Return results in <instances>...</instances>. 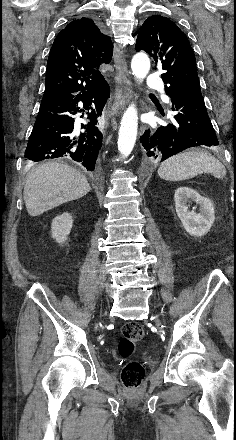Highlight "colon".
<instances>
[{"mask_svg":"<svg viewBox=\"0 0 236 440\" xmlns=\"http://www.w3.org/2000/svg\"><path fill=\"white\" fill-rule=\"evenodd\" d=\"M144 336V330L137 322H127L121 329V338L118 344V353L121 357H129L135 344ZM145 370L137 361L128 362L122 369L121 380L124 387L128 390L137 389L143 382Z\"/></svg>","mask_w":236,"mask_h":440,"instance_id":"obj_1","label":"colon"}]
</instances>
